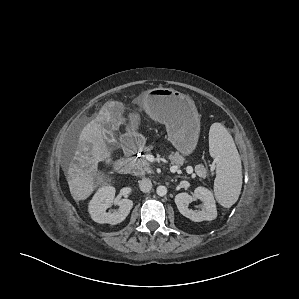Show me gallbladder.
<instances>
[{"instance_id": "1", "label": "gallbladder", "mask_w": 299, "mask_h": 299, "mask_svg": "<svg viewBox=\"0 0 299 299\" xmlns=\"http://www.w3.org/2000/svg\"><path fill=\"white\" fill-rule=\"evenodd\" d=\"M112 125L113 124L110 122L104 123L103 124V133L106 137L107 146L110 147L111 149H114L118 146V142L113 136Z\"/></svg>"}]
</instances>
